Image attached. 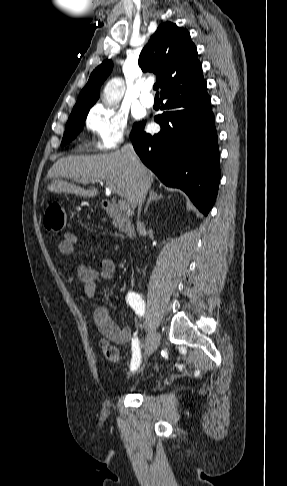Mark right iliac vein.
<instances>
[{"label": "right iliac vein", "instance_id": "obj_1", "mask_svg": "<svg viewBox=\"0 0 287 486\" xmlns=\"http://www.w3.org/2000/svg\"><path fill=\"white\" fill-rule=\"evenodd\" d=\"M160 342L159 334L155 330H151L146 341V355L149 356L156 351Z\"/></svg>", "mask_w": 287, "mask_h": 486}]
</instances>
